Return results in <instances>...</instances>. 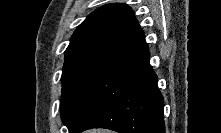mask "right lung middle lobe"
I'll return each instance as SVG.
<instances>
[{
    "label": "right lung middle lobe",
    "mask_w": 221,
    "mask_h": 133,
    "mask_svg": "<svg viewBox=\"0 0 221 133\" xmlns=\"http://www.w3.org/2000/svg\"><path fill=\"white\" fill-rule=\"evenodd\" d=\"M103 72V70L62 72L61 116L68 129L92 85Z\"/></svg>",
    "instance_id": "1"
}]
</instances>
